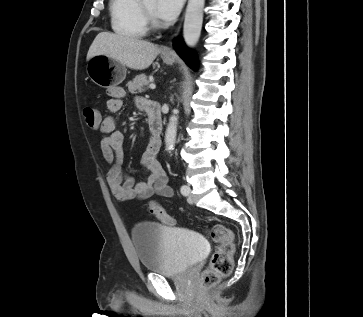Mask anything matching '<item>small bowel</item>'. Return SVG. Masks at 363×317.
<instances>
[{
	"mask_svg": "<svg viewBox=\"0 0 363 317\" xmlns=\"http://www.w3.org/2000/svg\"><path fill=\"white\" fill-rule=\"evenodd\" d=\"M109 94L107 109L110 115L102 119L99 130L102 134L101 151L105 161L110 165L106 180L113 196L119 202L147 199L155 194L171 197L173 190L168 185L167 174L156 159L159 148L150 143L141 159V165L147 173L145 178L135 181L133 177L121 170L125 135L116 129L114 115L122 109L125 90L115 87L109 91ZM138 105L146 108L147 101L139 100Z\"/></svg>",
	"mask_w": 363,
	"mask_h": 317,
	"instance_id": "c3829d8e",
	"label": "small bowel"
}]
</instances>
